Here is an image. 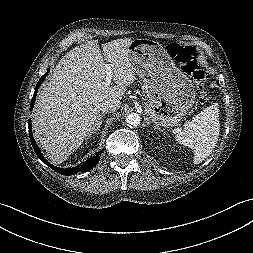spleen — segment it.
<instances>
[{
	"label": "spleen",
	"instance_id": "obj_1",
	"mask_svg": "<svg viewBox=\"0 0 253 253\" xmlns=\"http://www.w3.org/2000/svg\"><path fill=\"white\" fill-rule=\"evenodd\" d=\"M219 132V105L213 103L186 122L184 130L178 132L175 139L177 143L194 150V164H199L214 150Z\"/></svg>",
	"mask_w": 253,
	"mask_h": 253
}]
</instances>
